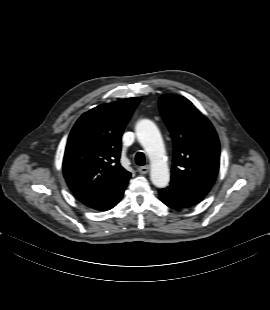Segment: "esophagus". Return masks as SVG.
Listing matches in <instances>:
<instances>
[{"label":"esophagus","instance_id":"1","mask_svg":"<svg viewBox=\"0 0 270 310\" xmlns=\"http://www.w3.org/2000/svg\"><path fill=\"white\" fill-rule=\"evenodd\" d=\"M150 171V167L149 166H141L138 168V172L140 174H147Z\"/></svg>","mask_w":270,"mask_h":310}]
</instances>
